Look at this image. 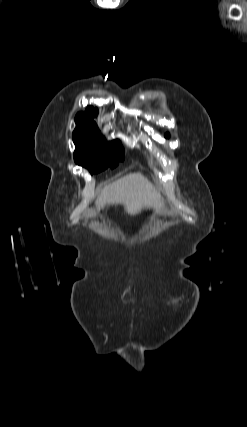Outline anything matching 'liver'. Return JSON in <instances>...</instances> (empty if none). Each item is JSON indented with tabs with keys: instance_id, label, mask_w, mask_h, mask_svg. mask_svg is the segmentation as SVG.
Listing matches in <instances>:
<instances>
[{
	"instance_id": "1",
	"label": "liver",
	"mask_w": 247,
	"mask_h": 427,
	"mask_svg": "<svg viewBox=\"0 0 247 427\" xmlns=\"http://www.w3.org/2000/svg\"><path fill=\"white\" fill-rule=\"evenodd\" d=\"M106 203L121 204L130 215L144 209L160 210L164 199L158 189L141 173H130L105 186L95 201L98 212Z\"/></svg>"
}]
</instances>
